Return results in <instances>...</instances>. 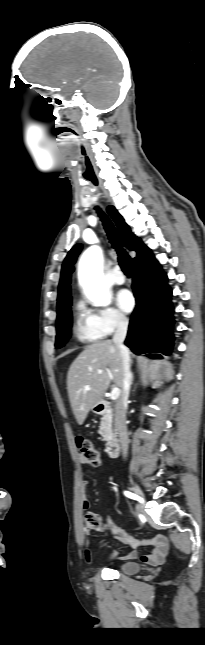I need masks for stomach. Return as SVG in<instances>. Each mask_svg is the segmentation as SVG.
I'll return each mask as SVG.
<instances>
[{
    "label": "stomach",
    "instance_id": "1",
    "mask_svg": "<svg viewBox=\"0 0 205 645\" xmlns=\"http://www.w3.org/2000/svg\"><path fill=\"white\" fill-rule=\"evenodd\" d=\"M92 411H93L94 413H98V412H99V411H97V405H95L94 407H92Z\"/></svg>",
    "mask_w": 205,
    "mask_h": 645
}]
</instances>
